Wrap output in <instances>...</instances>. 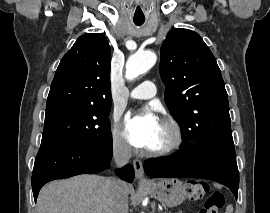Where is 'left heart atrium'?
<instances>
[{
    "label": "left heart atrium",
    "mask_w": 270,
    "mask_h": 213,
    "mask_svg": "<svg viewBox=\"0 0 270 213\" xmlns=\"http://www.w3.org/2000/svg\"><path fill=\"white\" fill-rule=\"evenodd\" d=\"M159 119L152 109L141 114L127 116L124 122V137L133 147L148 149L155 137Z\"/></svg>",
    "instance_id": "1"
}]
</instances>
